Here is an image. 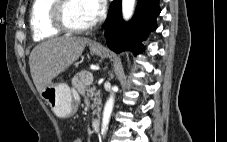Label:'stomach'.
Instances as JSON below:
<instances>
[{
    "label": "stomach",
    "instance_id": "stomach-1",
    "mask_svg": "<svg viewBox=\"0 0 227 142\" xmlns=\"http://www.w3.org/2000/svg\"><path fill=\"white\" fill-rule=\"evenodd\" d=\"M90 50L101 57L108 55V51L105 48L97 47L93 44H90ZM41 97L58 117L68 118L77 110L71 89L65 83L56 84L50 82L41 92Z\"/></svg>",
    "mask_w": 227,
    "mask_h": 142
}]
</instances>
